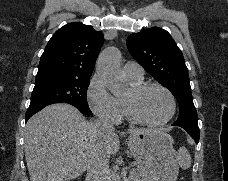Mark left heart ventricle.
<instances>
[{
  "mask_svg": "<svg viewBox=\"0 0 228 181\" xmlns=\"http://www.w3.org/2000/svg\"><path fill=\"white\" fill-rule=\"evenodd\" d=\"M167 97L156 88H148L138 98L136 107L140 115L150 121H157L168 112Z\"/></svg>",
  "mask_w": 228,
  "mask_h": 181,
  "instance_id": "left-heart-ventricle-1",
  "label": "left heart ventricle"
}]
</instances>
